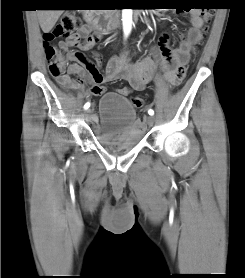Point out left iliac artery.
I'll return each instance as SVG.
<instances>
[{
    "label": "left iliac artery",
    "mask_w": 245,
    "mask_h": 278,
    "mask_svg": "<svg viewBox=\"0 0 245 278\" xmlns=\"http://www.w3.org/2000/svg\"><path fill=\"white\" fill-rule=\"evenodd\" d=\"M148 113H149V115H153L154 111L152 109H149Z\"/></svg>",
    "instance_id": "1"
}]
</instances>
